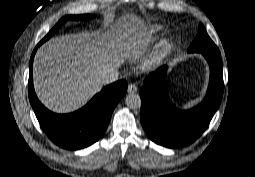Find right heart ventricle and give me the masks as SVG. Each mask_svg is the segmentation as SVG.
Here are the masks:
<instances>
[{"label": "right heart ventricle", "instance_id": "1", "mask_svg": "<svg viewBox=\"0 0 255 177\" xmlns=\"http://www.w3.org/2000/svg\"><path fill=\"white\" fill-rule=\"evenodd\" d=\"M155 36V33H153L152 35H149L148 37H146V42H150Z\"/></svg>", "mask_w": 255, "mask_h": 177}]
</instances>
